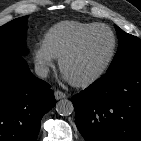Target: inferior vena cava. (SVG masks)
I'll use <instances>...</instances> for the list:
<instances>
[{
  "instance_id": "1",
  "label": "inferior vena cava",
  "mask_w": 141,
  "mask_h": 141,
  "mask_svg": "<svg viewBox=\"0 0 141 141\" xmlns=\"http://www.w3.org/2000/svg\"><path fill=\"white\" fill-rule=\"evenodd\" d=\"M49 68L42 64V63H37L35 65V73L41 77V78H46L48 76Z\"/></svg>"
}]
</instances>
